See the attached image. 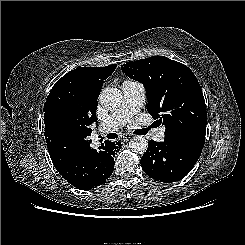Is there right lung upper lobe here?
I'll list each match as a JSON object with an SVG mask.
<instances>
[{"instance_id":"obj_1","label":"right lung upper lobe","mask_w":245,"mask_h":245,"mask_svg":"<svg viewBox=\"0 0 245 245\" xmlns=\"http://www.w3.org/2000/svg\"><path fill=\"white\" fill-rule=\"evenodd\" d=\"M116 64L105 67H80L60 78L44 104L45 139L66 140L72 150L91 142L90 125L96 122V108L103 81L115 70Z\"/></svg>"}]
</instances>
